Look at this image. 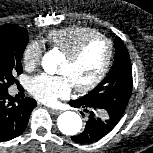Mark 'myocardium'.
I'll list each match as a JSON object with an SVG mask.
<instances>
[{
	"label": "myocardium",
	"mask_w": 153,
	"mask_h": 153,
	"mask_svg": "<svg viewBox=\"0 0 153 153\" xmlns=\"http://www.w3.org/2000/svg\"><path fill=\"white\" fill-rule=\"evenodd\" d=\"M96 40H104L108 44L107 57L100 72L91 82H89L88 84L84 86H74V89L79 93H87L92 91L104 80V78L106 77V75L108 74L110 70V67L113 61L114 42L108 36L99 33L84 39L71 52L65 55L66 59L69 62H74L82 55L85 49Z\"/></svg>",
	"instance_id": "myocardium-1"
}]
</instances>
